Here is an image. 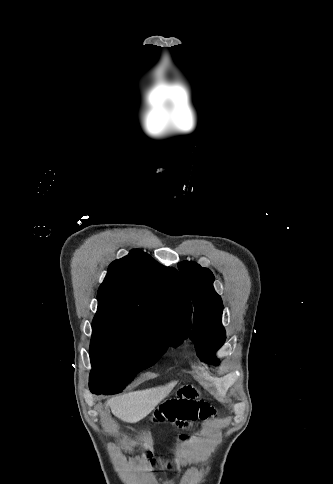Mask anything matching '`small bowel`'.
<instances>
[{
	"instance_id": "1",
	"label": "small bowel",
	"mask_w": 333,
	"mask_h": 484,
	"mask_svg": "<svg viewBox=\"0 0 333 484\" xmlns=\"http://www.w3.org/2000/svg\"><path fill=\"white\" fill-rule=\"evenodd\" d=\"M216 415V410L201 397V392L187 384L175 390L172 396L162 401L152 415L156 425L170 423L180 429L187 428L198 420H206ZM182 439H186L183 435Z\"/></svg>"
}]
</instances>
